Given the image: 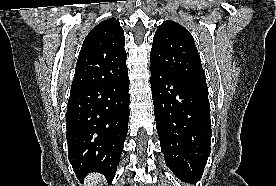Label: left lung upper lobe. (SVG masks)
<instances>
[{
    "label": "left lung upper lobe",
    "instance_id": "5c2ea615",
    "mask_svg": "<svg viewBox=\"0 0 276 186\" xmlns=\"http://www.w3.org/2000/svg\"><path fill=\"white\" fill-rule=\"evenodd\" d=\"M152 66L184 77L190 81L206 84L192 35L182 25L164 21L156 30L150 53Z\"/></svg>",
    "mask_w": 276,
    "mask_h": 186
}]
</instances>
